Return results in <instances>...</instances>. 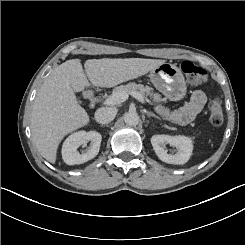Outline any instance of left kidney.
Masks as SVG:
<instances>
[{
  "label": "left kidney",
  "mask_w": 245,
  "mask_h": 245,
  "mask_svg": "<svg viewBox=\"0 0 245 245\" xmlns=\"http://www.w3.org/2000/svg\"><path fill=\"white\" fill-rule=\"evenodd\" d=\"M153 149L160 160L169 164H185L193 151L192 140L183 135L170 136V135H154L151 138ZM177 148L175 154H168L166 145Z\"/></svg>",
  "instance_id": "1"
}]
</instances>
